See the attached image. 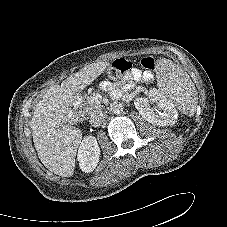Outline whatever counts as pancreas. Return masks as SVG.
Wrapping results in <instances>:
<instances>
[{"label":"pancreas","instance_id":"cf45deb5","mask_svg":"<svg viewBox=\"0 0 227 227\" xmlns=\"http://www.w3.org/2000/svg\"><path fill=\"white\" fill-rule=\"evenodd\" d=\"M84 112L92 113L101 107L100 101L96 100L94 95L89 96L86 101L81 104Z\"/></svg>","mask_w":227,"mask_h":227}]
</instances>
